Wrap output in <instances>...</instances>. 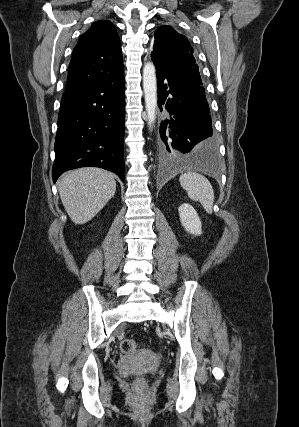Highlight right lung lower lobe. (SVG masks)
<instances>
[{"instance_id":"98d812e1","label":"right lung lower lobe","mask_w":299,"mask_h":427,"mask_svg":"<svg viewBox=\"0 0 299 427\" xmlns=\"http://www.w3.org/2000/svg\"><path fill=\"white\" fill-rule=\"evenodd\" d=\"M123 70L114 77L65 91L58 116L53 181L65 171L95 166L124 181Z\"/></svg>"}]
</instances>
